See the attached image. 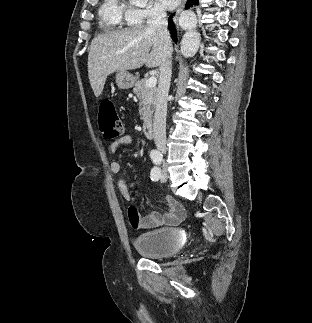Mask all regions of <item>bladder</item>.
Masks as SVG:
<instances>
[{
  "label": "bladder",
  "instance_id": "obj_1",
  "mask_svg": "<svg viewBox=\"0 0 312 323\" xmlns=\"http://www.w3.org/2000/svg\"><path fill=\"white\" fill-rule=\"evenodd\" d=\"M135 247L141 257H171L179 249L178 232L175 229H158L135 237Z\"/></svg>",
  "mask_w": 312,
  "mask_h": 323
}]
</instances>
